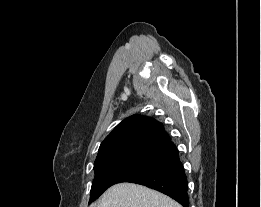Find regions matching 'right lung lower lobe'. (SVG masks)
Returning a JSON list of instances; mask_svg holds the SVG:
<instances>
[{"label":"right lung lower lobe","instance_id":"1","mask_svg":"<svg viewBox=\"0 0 261 207\" xmlns=\"http://www.w3.org/2000/svg\"><path fill=\"white\" fill-rule=\"evenodd\" d=\"M125 182L155 189L173 198L183 207H189L187 177L178 154L128 178Z\"/></svg>","mask_w":261,"mask_h":207}]
</instances>
